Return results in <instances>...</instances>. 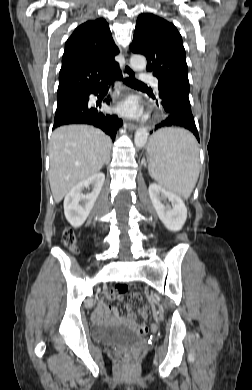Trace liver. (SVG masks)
<instances>
[{"instance_id":"6515ba94","label":"liver","mask_w":252,"mask_h":390,"mask_svg":"<svg viewBox=\"0 0 252 390\" xmlns=\"http://www.w3.org/2000/svg\"><path fill=\"white\" fill-rule=\"evenodd\" d=\"M110 149V137L92 126L57 128L49 145V182L54 201L59 203L74 186L98 173L109 159Z\"/></svg>"}]
</instances>
